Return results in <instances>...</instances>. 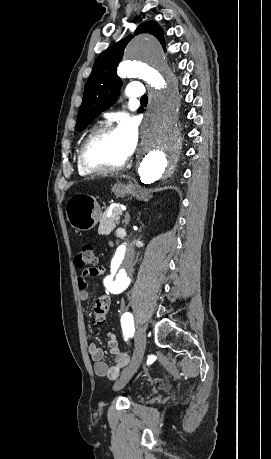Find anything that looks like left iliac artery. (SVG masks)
Segmentation results:
<instances>
[{"label":"left iliac artery","mask_w":271,"mask_h":459,"mask_svg":"<svg viewBox=\"0 0 271 459\" xmlns=\"http://www.w3.org/2000/svg\"><path fill=\"white\" fill-rule=\"evenodd\" d=\"M122 335L127 340L128 336L133 335L134 320L131 313L126 312L121 317Z\"/></svg>","instance_id":"obj_1"}]
</instances>
